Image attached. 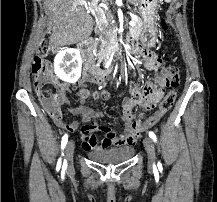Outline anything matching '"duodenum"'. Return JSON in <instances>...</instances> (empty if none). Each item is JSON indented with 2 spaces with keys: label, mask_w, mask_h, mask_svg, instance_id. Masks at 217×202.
<instances>
[{
  "label": "duodenum",
  "mask_w": 217,
  "mask_h": 202,
  "mask_svg": "<svg viewBox=\"0 0 217 202\" xmlns=\"http://www.w3.org/2000/svg\"><path fill=\"white\" fill-rule=\"evenodd\" d=\"M81 49L85 60L83 80L94 84L104 82L111 75V71L101 70L94 64L92 58V42L84 43ZM134 51L135 49L133 48Z\"/></svg>",
  "instance_id": "1"
}]
</instances>
